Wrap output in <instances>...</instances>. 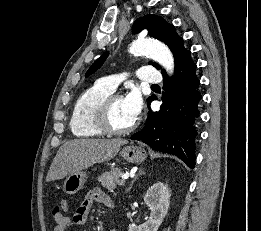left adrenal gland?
I'll return each instance as SVG.
<instances>
[{
	"instance_id": "left-adrenal-gland-1",
	"label": "left adrenal gland",
	"mask_w": 261,
	"mask_h": 231,
	"mask_svg": "<svg viewBox=\"0 0 261 231\" xmlns=\"http://www.w3.org/2000/svg\"><path fill=\"white\" fill-rule=\"evenodd\" d=\"M144 174H145V171L142 168H140L138 171V174L135 176V178L132 180L130 186L127 188L126 193H128L132 189L133 184L138 179V177L141 175H144Z\"/></svg>"
}]
</instances>
